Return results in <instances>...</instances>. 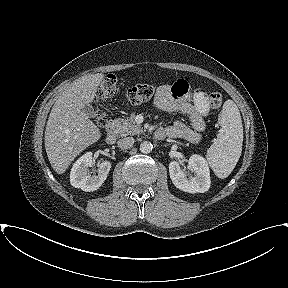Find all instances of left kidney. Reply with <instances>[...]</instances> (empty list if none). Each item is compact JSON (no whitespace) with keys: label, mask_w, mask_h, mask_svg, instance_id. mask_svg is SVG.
<instances>
[{"label":"left kidney","mask_w":288,"mask_h":288,"mask_svg":"<svg viewBox=\"0 0 288 288\" xmlns=\"http://www.w3.org/2000/svg\"><path fill=\"white\" fill-rule=\"evenodd\" d=\"M187 168L192 174L187 175L179 162H170L169 174L174 186L192 194L208 191L211 181L207 161L200 155H192L188 160Z\"/></svg>","instance_id":"obj_1"}]
</instances>
